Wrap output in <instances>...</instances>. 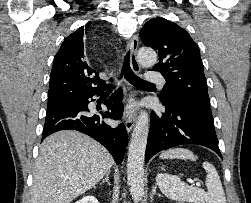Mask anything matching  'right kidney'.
I'll return each mask as SVG.
<instances>
[{
    "label": "right kidney",
    "mask_w": 251,
    "mask_h": 203,
    "mask_svg": "<svg viewBox=\"0 0 251 203\" xmlns=\"http://www.w3.org/2000/svg\"><path fill=\"white\" fill-rule=\"evenodd\" d=\"M75 203H99L94 196H85L82 199L76 201Z\"/></svg>",
    "instance_id": "1"
}]
</instances>
